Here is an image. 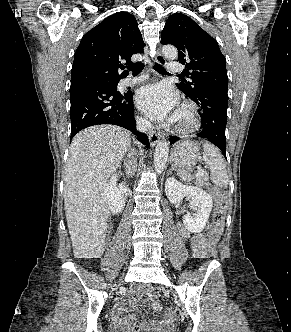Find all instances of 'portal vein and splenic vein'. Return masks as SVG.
Listing matches in <instances>:
<instances>
[{"label":"portal vein and splenic vein","instance_id":"18ae733b","mask_svg":"<svg viewBox=\"0 0 291 332\" xmlns=\"http://www.w3.org/2000/svg\"><path fill=\"white\" fill-rule=\"evenodd\" d=\"M205 170L201 167L198 168L197 173L195 174L196 177L204 175Z\"/></svg>","mask_w":291,"mask_h":332}]
</instances>
